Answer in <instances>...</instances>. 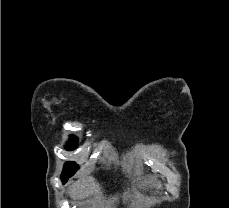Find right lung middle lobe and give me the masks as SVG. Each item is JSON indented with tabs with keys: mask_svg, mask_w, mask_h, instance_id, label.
Segmentation results:
<instances>
[{
	"mask_svg": "<svg viewBox=\"0 0 229 208\" xmlns=\"http://www.w3.org/2000/svg\"><path fill=\"white\" fill-rule=\"evenodd\" d=\"M77 146V142L72 137L70 142L67 143L66 149L67 150H74ZM79 169L78 165L75 162H66L64 165L63 173L61 177H71L77 170Z\"/></svg>",
	"mask_w": 229,
	"mask_h": 208,
	"instance_id": "dd1d6c3e",
	"label": "right lung middle lobe"
}]
</instances>
